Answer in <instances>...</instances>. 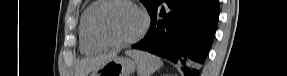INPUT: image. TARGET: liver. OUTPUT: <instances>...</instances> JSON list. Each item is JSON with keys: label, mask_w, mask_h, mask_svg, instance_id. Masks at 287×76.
Instances as JSON below:
<instances>
[{"label": "liver", "mask_w": 287, "mask_h": 76, "mask_svg": "<svg viewBox=\"0 0 287 76\" xmlns=\"http://www.w3.org/2000/svg\"><path fill=\"white\" fill-rule=\"evenodd\" d=\"M116 55H102L99 57L85 58L80 61L76 68V76H85L92 70L97 69L105 63L109 58L115 57Z\"/></svg>", "instance_id": "1"}]
</instances>
